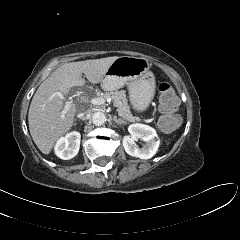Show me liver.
Instances as JSON below:
<instances>
[{
  "instance_id": "6515ba94",
  "label": "liver",
  "mask_w": 240,
  "mask_h": 240,
  "mask_svg": "<svg viewBox=\"0 0 240 240\" xmlns=\"http://www.w3.org/2000/svg\"><path fill=\"white\" fill-rule=\"evenodd\" d=\"M117 58L113 56L66 63L41 83L30 104L28 124L31 137L42 153L49 154L55 142L71 129L77 112V106L71 103L62 116L68 102L64 104V99L55 93L66 95L72 87L83 86L85 80L82 74L93 84L101 82Z\"/></svg>"
}]
</instances>
